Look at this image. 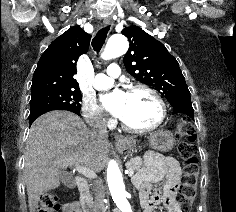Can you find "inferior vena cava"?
<instances>
[{
    "label": "inferior vena cava",
    "mask_w": 236,
    "mask_h": 212,
    "mask_svg": "<svg viewBox=\"0 0 236 212\" xmlns=\"http://www.w3.org/2000/svg\"><path fill=\"white\" fill-rule=\"evenodd\" d=\"M93 133L103 139L108 138V131L104 122L100 123L94 130ZM97 187V193L95 197L97 212H101L103 208V199H104V191H103V183L102 179H97L95 181Z\"/></svg>",
    "instance_id": "obj_1"
}]
</instances>
